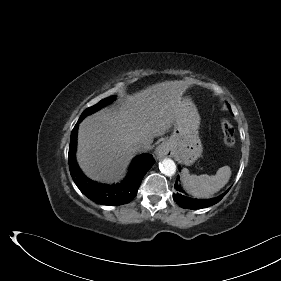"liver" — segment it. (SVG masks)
Listing matches in <instances>:
<instances>
[{"instance_id": "liver-1", "label": "liver", "mask_w": 281, "mask_h": 281, "mask_svg": "<svg viewBox=\"0 0 281 281\" xmlns=\"http://www.w3.org/2000/svg\"><path fill=\"white\" fill-rule=\"evenodd\" d=\"M190 83L164 81L133 95L116 108H104L79 125L76 158L92 180L119 181L141 142L152 143L174 125Z\"/></svg>"}]
</instances>
